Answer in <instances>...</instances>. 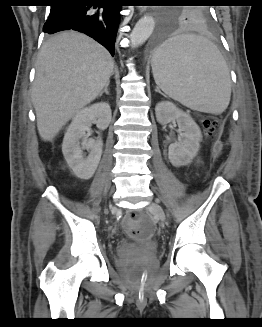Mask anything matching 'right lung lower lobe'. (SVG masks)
Returning a JSON list of instances; mask_svg holds the SVG:
<instances>
[{
    "label": "right lung lower lobe",
    "instance_id": "right-lung-lower-lobe-1",
    "mask_svg": "<svg viewBox=\"0 0 262 327\" xmlns=\"http://www.w3.org/2000/svg\"><path fill=\"white\" fill-rule=\"evenodd\" d=\"M43 31L53 34L63 30L83 32L103 45L113 56L119 24L118 5L85 6L74 0H52ZM103 7V10H94Z\"/></svg>",
    "mask_w": 262,
    "mask_h": 327
}]
</instances>
